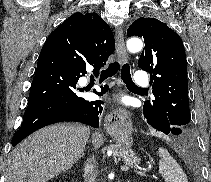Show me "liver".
<instances>
[{"mask_svg": "<svg viewBox=\"0 0 211 182\" xmlns=\"http://www.w3.org/2000/svg\"><path fill=\"white\" fill-rule=\"evenodd\" d=\"M90 129L80 124L45 127L24 139L12 151L7 165V182H47L70 169L81 157ZM98 149L103 136L95 132Z\"/></svg>", "mask_w": 211, "mask_h": 182, "instance_id": "6515ba94", "label": "liver"}]
</instances>
